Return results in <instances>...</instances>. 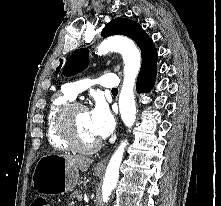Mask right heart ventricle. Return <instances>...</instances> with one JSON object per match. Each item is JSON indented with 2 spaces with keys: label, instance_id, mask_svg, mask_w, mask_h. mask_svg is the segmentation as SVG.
Segmentation results:
<instances>
[{
  "label": "right heart ventricle",
  "instance_id": "e07e8e85",
  "mask_svg": "<svg viewBox=\"0 0 221 206\" xmlns=\"http://www.w3.org/2000/svg\"><path fill=\"white\" fill-rule=\"evenodd\" d=\"M72 101L73 98L65 91H62L61 93L54 96L50 103L46 117V133L47 139L54 149L63 151L72 149L69 144L62 138L57 127V116L60 108Z\"/></svg>",
  "mask_w": 221,
  "mask_h": 206
}]
</instances>
